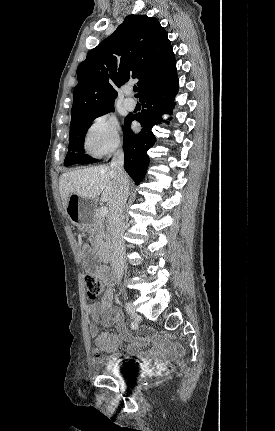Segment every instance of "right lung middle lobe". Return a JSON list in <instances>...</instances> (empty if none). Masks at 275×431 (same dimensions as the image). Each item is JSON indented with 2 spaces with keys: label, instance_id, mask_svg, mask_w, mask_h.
I'll list each match as a JSON object with an SVG mask.
<instances>
[{
  "label": "right lung middle lobe",
  "instance_id": "obj_1",
  "mask_svg": "<svg viewBox=\"0 0 275 431\" xmlns=\"http://www.w3.org/2000/svg\"><path fill=\"white\" fill-rule=\"evenodd\" d=\"M114 110V107L107 108L105 110L95 112L88 116L82 117L76 121L71 122L70 125V142L68 153L66 155L64 165L70 166L76 163H93L97 159H91L90 156L84 154V139L88 128L90 127L92 121L102 116L108 112ZM129 117L125 119V126L128 122Z\"/></svg>",
  "mask_w": 275,
  "mask_h": 431
}]
</instances>
